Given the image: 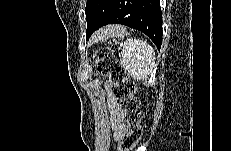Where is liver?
<instances>
[{
    "label": "liver",
    "instance_id": "obj_1",
    "mask_svg": "<svg viewBox=\"0 0 231 151\" xmlns=\"http://www.w3.org/2000/svg\"><path fill=\"white\" fill-rule=\"evenodd\" d=\"M121 31L120 26H107L96 32L95 38H103L112 34H118Z\"/></svg>",
    "mask_w": 231,
    "mask_h": 151
}]
</instances>
